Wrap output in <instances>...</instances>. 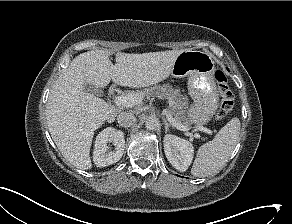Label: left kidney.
Listing matches in <instances>:
<instances>
[{"instance_id":"obj_1","label":"left kidney","mask_w":292,"mask_h":224,"mask_svg":"<svg viewBox=\"0 0 292 224\" xmlns=\"http://www.w3.org/2000/svg\"><path fill=\"white\" fill-rule=\"evenodd\" d=\"M163 142L166 158L171 165L180 172L186 171L193 160V145L172 134L165 135Z\"/></svg>"}]
</instances>
